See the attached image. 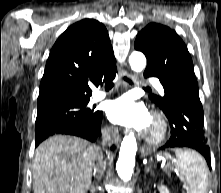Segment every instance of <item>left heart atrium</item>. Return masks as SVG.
<instances>
[{
  "mask_svg": "<svg viewBox=\"0 0 221 193\" xmlns=\"http://www.w3.org/2000/svg\"><path fill=\"white\" fill-rule=\"evenodd\" d=\"M106 114L115 124L143 130L150 119V114L141 102L132 95L124 94L107 103Z\"/></svg>",
  "mask_w": 221,
  "mask_h": 193,
  "instance_id": "1",
  "label": "left heart atrium"
}]
</instances>
